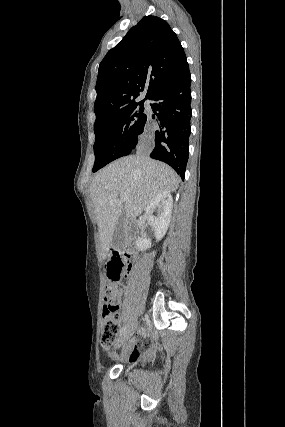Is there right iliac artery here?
I'll return each instance as SVG.
<instances>
[{
    "mask_svg": "<svg viewBox=\"0 0 285 427\" xmlns=\"http://www.w3.org/2000/svg\"><path fill=\"white\" fill-rule=\"evenodd\" d=\"M126 327H127V325L123 326V327L120 329V335H122V334L125 332Z\"/></svg>",
    "mask_w": 285,
    "mask_h": 427,
    "instance_id": "82829eb1",
    "label": "right iliac artery"
}]
</instances>
